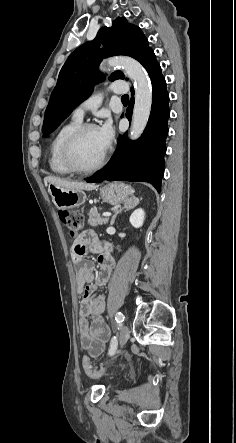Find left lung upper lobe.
<instances>
[{
	"instance_id": "1",
	"label": "left lung upper lobe",
	"mask_w": 236,
	"mask_h": 443,
	"mask_svg": "<svg viewBox=\"0 0 236 443\" xmlns=\"http://www.w3.org/2000/svg\"><path fill=\"white\" fill-rule=\"evenodd\" d=\"M103 44V48H99ZM151 48L141 29L118 17L112 27H103L93 41L78 47L62 66L56 87L46 108L42 131L53 132L72 110L92 92L103 77L98 72L102 59L115 55H127L143 64ZM121 71L109 77L110 81L124 79Z\"/></svg>"
}]
</instances>
